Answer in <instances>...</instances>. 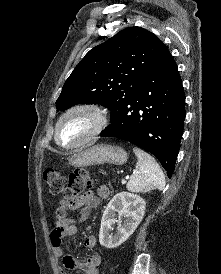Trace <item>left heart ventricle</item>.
I'll return each instance as SVG.
<instances>
[{
    "label": "left heart ventricle",
    "instance_id": "1",
    "mask_svg": "<svg viewBox=\"0 0 221 274\" xmlns=\"http://www.w3.org/2000/svg\"><path fill=\"white\" fill-rule=\"evenodd\" d=\"M93 120L85 113H76L64 120L59 138L62 143L72 144L82 139L92 128Z\"/></svg>",
    "mask_w": 221,
    "mask_h": 274
}]
</instances>
